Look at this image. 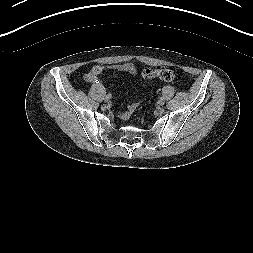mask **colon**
I'll return each instance as SVG.
<instances>
[{
  "mask_svg": "<svg viewBox=\"0 0 253 253\" xmlns=\"http://www.w3.org/2000/svg\"><path fill=\"white\" fill-rule=\"evenodd\" d=\"M144 75L146 76H156L159 77L165 81H172L175 79V74L173 71L165 69V70H145ZM133 110V107H129V113H131Z\"/></svg>",
  "mask_w": 253,
  "mask_h": 253,
  "instance_id": "obj_1",
  "label": "colon"
}]
</instances>
